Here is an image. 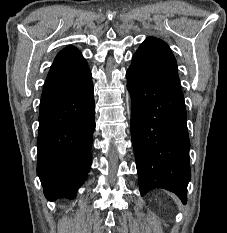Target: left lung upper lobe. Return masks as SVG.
<instances>
[{"instance_id": "1", "label": "left lung upper lobe", "mask_w": 227, "mask_h": 233, "mask_svg": "<svg viewBox=\"0 0 227 233\" xmlns=\"http://www.w3.org/2000/svg\"><path fill=\"white\" fill-rule=\"evenodd\" d=\"M129 68L159 83L180 89L175 57L161 39L147 38L134 54Z\"/></svg>"}]
</instances>
